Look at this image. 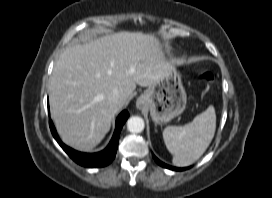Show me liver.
Listing matches in <instances>:
<instances>
[{
    "instance_id": "liver-1",
    "label": "liver",
    "mask_w": 272,
    "mask_h": 198,
    "mask_svg": "<svg viewBox=\"0 0 272 198\" xmlns=\"http://www.w3.org/2000/svg\"><path fill=\"white\" fill-rule=\"evenodd\" d=\"M170 67L159 40L142 32L107 34L67 48L49 85L51 117L62 141L77 150H92L136 85L151 87ZM115 89L118 102L109 99Z\"/></svg>"
}]
</instances>
